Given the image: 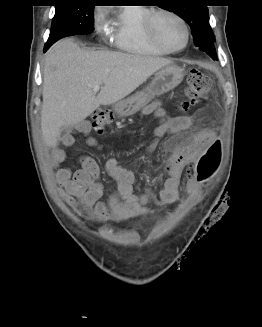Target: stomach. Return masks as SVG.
<instances>
[{
  "mask_svg": "<svg viewBox=\"0 0 262 327\" xmlns=\"http://www.w3.org/2000/svg\"><path fill=\"white\" fill-rule=\"evenodd\" d=\"M183 69L169 64L160 69L151 83L142 91L114 104V111L120 117L132 116L145 107L156 96H160L178 86L183 80Z\"/></svg>",
  "mask_w": 262,
  "mask_h": 327,
  "instance_id": "stomach-1",
  "label": "stomach"
}]
</instances>
